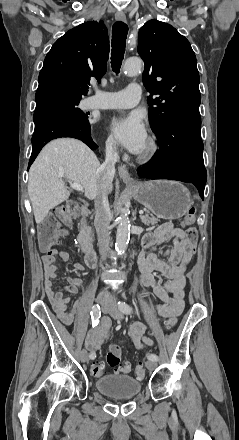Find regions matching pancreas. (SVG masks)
I'll list each match as a JSON object with an SVG mask.
<instances>
[{"mask_svg": "<svg viewBox=\"0 0 239 440\" xmlns=\"http://www.w3.org/2000/svg\"><path fill=\"white\" fill-rule=\"evenodd\" d=\"M141 220L143 224H146V226H155V224H158L160 220L158 218H155V216H150L149 212L145 214V216H141Z\"/></svg>", "mask_w": 239, "mask_h": 440, "instance_id": "pancreas-1", "label": "pancreas"}]
</instances>
